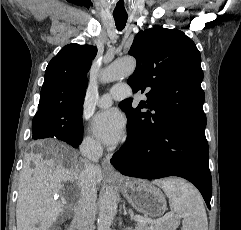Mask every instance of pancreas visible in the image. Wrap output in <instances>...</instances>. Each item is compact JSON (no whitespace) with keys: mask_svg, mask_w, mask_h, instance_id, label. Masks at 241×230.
Listing matches in <instances>:
<instances>
[{"mask_svg":"<svg viewBox=\"0 0 241 230\" xmlns=\"http://www.w3.org/2000/svg\"><path fill=\"white\" fill-rule=\"evenodd\" d=\"M179 222L176 219H169L160 225H149L147 223H137L136 230H176Z\"/></svg>","mask_w":241,"mask_h":230,"instance_id":"cf45deb5","label":"pancreas"}]
</instances>
